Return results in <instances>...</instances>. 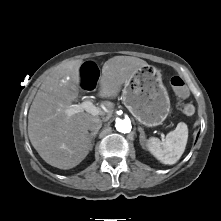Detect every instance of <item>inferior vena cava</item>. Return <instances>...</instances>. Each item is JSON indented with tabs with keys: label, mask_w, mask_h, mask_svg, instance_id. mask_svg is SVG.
Here are the masks:
<instances>
[{
	"label": "inferior vena cava",
	"mask_w": 221,
	"mask_h": 221,
	"mask_svg": "<svg viewBox=\"0 0 221 221\" xmlns=\"http://www.w3.org/2000/svg\"><path fill=\"white\" fill-rule=\"evenodd\" d=\"M102 127V121L100 119H93L87 125L88 130L93 132H98L99 129Z\"/></svg>",
	"instance_id": "obj_1"
}]
</instances>
